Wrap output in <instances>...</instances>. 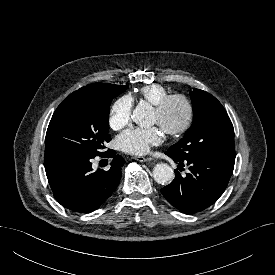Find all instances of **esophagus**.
Wrapping results in <instances>:
<instances>
[{
	"mask_svg": "<svg viewBox=\"0 0 275 275\" xmlns=\"http://www.w3.org/2000/svg\"><path fill=\"white\" fill-rule=\"evenodd\" d=\"M134 159L139 161V162H147V161L152 160L151 158L143 157V156H135Z\"/></svg>",
	"mask_w": 275,
	"mask_h": 275,
	"instance_id": "esophagus-1",
	"label": "esophagus"
}]
</instances>
